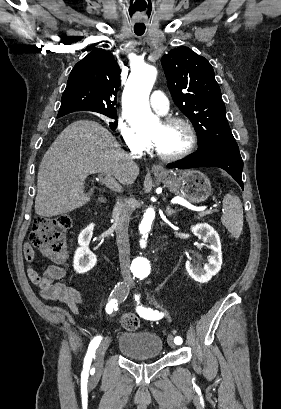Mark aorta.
Instances as JSON below:
<instances>
[{"label": "aorta", "instance_id": "obj_1", "mask_svg": "<svg viewBox=\"0 0 281 409\" xmlns=\"http://www.w3.org/2000/svg\"><path fill=\"white\" fill-rule=\"evenodd\" d=\"M155 67L142 64L137 66L125 87L123 107L131 127L139 132H149L159 125V119L149 106V95L156 80ZM155 217L153 208H148L140 224V230L146 232L151 228Z\"/></svg>", "mask_w": 281, "mask_h": 409}]
</instances>
